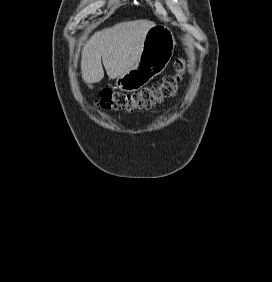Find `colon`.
Listing matches in <instances>:
<instances>
[{
	"instance_id": "1",
	"label": "colon",
	"mask_w": 272,
	"mask_h": 282,
	"mask_svg": "<svg viewBox=\"0 0 272 282\" xmlns=\"http://www.w3.org/2000/svg\"><path fill=\"white\" fill-rule=\"evenodd\" d=\"M187 62L184 58L175 61L177 73L165 75L161 81L134 93L116 92L109 88L102 89L97 103L103 109H114L133 112L138 109H151L156 104L175 96L177 85L185 72Z\"/></svg>"
}]
</instances>
